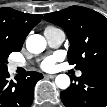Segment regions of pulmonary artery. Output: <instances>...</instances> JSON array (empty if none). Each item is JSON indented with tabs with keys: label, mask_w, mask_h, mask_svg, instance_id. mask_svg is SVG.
Returning a JSON list of instances; mask_svg holds the SVG:
<instances>
[{
	"label": "pulmonary artery",
	"mask_w": 107,
	"mask_h": 107,
	"mask_svg": "<svg viewBox=\"0 0 107 107\" xmlns=\"http://www.w3.org/2000/svg\"><path fill=\"white\" fill-rule=\"evenodd\" d=\"M44 35L47 39L49 46H51L53 48L59 47L65 39V35H64L63 31L60 29L45 30ZM21 66H23V63H20V62H13L11 64L12 69H16ZM81 74H82L81 71L77 72V76H81Z\"/></svg>",
	"instance_id": "1"
}]
</instances>
